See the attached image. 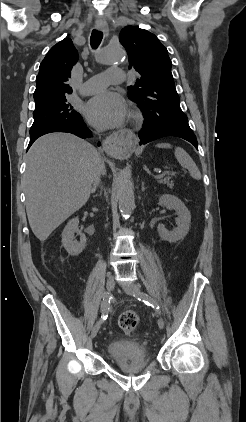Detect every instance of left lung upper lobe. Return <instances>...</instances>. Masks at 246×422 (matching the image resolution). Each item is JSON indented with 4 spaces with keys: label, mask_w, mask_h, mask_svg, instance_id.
<instances>
[{
    "label": "left lung upper lobe",
    "mask_w": 246,
    "mask_h": 422,
    "mask_svg": "<svg viewBox=\"0 0 246 422\" xmlns=\"http://www.w3.org/2000/svg\"><path fill=\"white\" fill-rule=\"evenodd\" d=\"M119 41L128 53L129 69L139 73L136 83L128 87V97L144 112V124L188 122L179 105L168 51L159 39L147 30L127 26Z\"/></svg>",
    "instance_id": "1"
}]
</instances>
